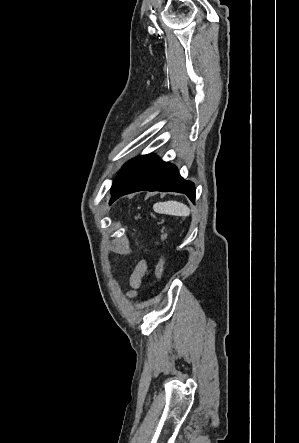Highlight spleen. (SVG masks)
<instances>
[{
	"label": "spleen",
	"mask_w": 299,
	"mask_h": 443,
	"mask_svg": "<svg viewBox=\"0 0 299 443\" xmlns=\"http://www.w3.org/2000/svg\"><path fill=\"white\" fill-rule=\"evenodd\" d=\"M156 213L173 216H189L190 209L187 205L177 201L158 202L153 205Z\"/></svg>",
	"instance_id": "3e777b00"
}]
</instances>
